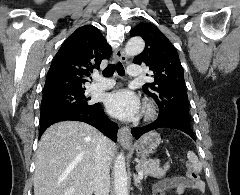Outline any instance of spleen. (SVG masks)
Segmentation results:
<instances>
[{
  "instance_id": "1",
  "label": "spleen",
  "mask_w": 240,
  "mask_h": 195,
  "mask_svg": "<svg viewBox=\"0 0 240 195\" xmlns=\"http://www.w3.org/2000/svg\"><path fill=\"white\" fill-rule=\"evenodd\" d=\"M187 157H188L189 161H191L194 169H196V171H201L202 163H200L196 153H193V151H188Z\"/></svg>"
}]
</instances>
